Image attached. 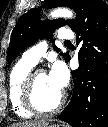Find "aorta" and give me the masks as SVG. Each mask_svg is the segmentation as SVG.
Masks as SVG:
<instances>
[{
    "mask_svg": "<svg viewBox=\"0 0 108 127\" xmlns=\"http://www.w3.org/2000/svg\"><path fill=\"white\" fill-rule=\"evenodd\" d=\"M51 18H74V13L68 8H57L50 13Z\"/></svg>",
    "mask_w": 108,
    "mask_h": 127,
    "instance_id": "762f6f07",
    "label": "aorta"
}]
</instances>
